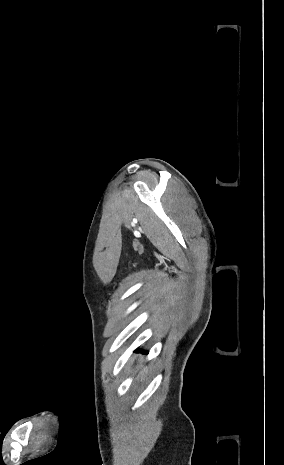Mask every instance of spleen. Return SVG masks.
Returning a JSON list of instances; mask_svg holds the SVG:
<instances>
[{
  "instance_id": "3e777b00",
  "label": "spleen",
  "mask_w": 284,
  "mask_h": 465,
  "mask_svg": "<svg viewBox=\"0 0 284 465\" xmlns=\"http://www.w3.org/2000/svg\"><path fill=\"white\" fill-rule=\"evenodd\" d=\"M147 373H148V369H143L141 375H143V377H144V375H147Z\"/></svg>"
}]
</instances>
